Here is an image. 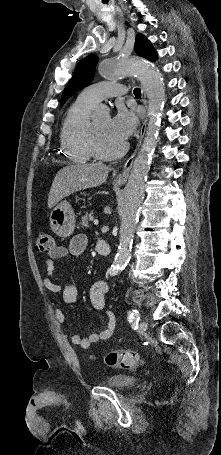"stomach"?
<instances>
[{
	"label": "stomach",
	"mask_w": 221,
	"mask_h": 455,
	"mask_svg": "<svg viewBox=\"0 0 221 455\" xmlns=\"http://www.w3.org/2000/svg\"><path fill=\"white\" fill-rule=\"evenodd\" d=\"M51 230L61 238L71 236L75 229V214L72 206L66 200L57 203L51 210L50 216Z\"/></svg>",
	"instance_id": "obj_1"
}]
</instances>
